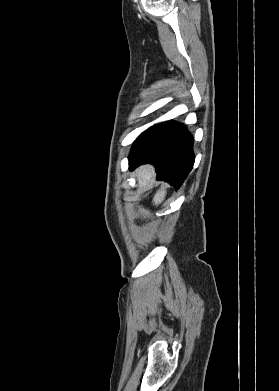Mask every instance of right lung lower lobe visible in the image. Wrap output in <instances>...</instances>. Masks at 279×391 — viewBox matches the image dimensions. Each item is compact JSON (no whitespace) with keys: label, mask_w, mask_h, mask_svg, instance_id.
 I'll return each instance as SVG.
<instances>
[{"label":"right lung lower lobe","mask_w":279,"mask_h":391,"mask_svg":"<svg viewBox=\"0 0 279 391\" xmlns=\"http://www.w3.org/2000/svg\"><path fill=\"white\" fill-rule=\"evenodd\" d=\"M143 163L154 164L157 180L178 189L194 164L192 135L174 121L152 126L137 138L129 155L130 170Z\"/></svg>","instance_id":"obj_1"}]
</instances>
